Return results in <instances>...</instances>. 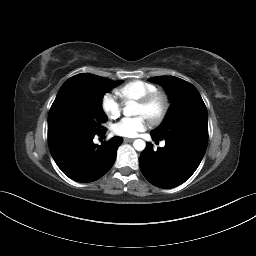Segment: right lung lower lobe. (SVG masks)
I'll return each mask as SVG.
<instances>
[{
	"mask_svg": "<svg viewBox=\"0 0 256 256\" xmlns=\"http://www.w3.org/2000/svg\"><path fill=\"white\" fill-rule=\"evenodd\" d=\"M95 134L72 129H48L52 157L69 178L78 182H92L107 173L114 164L117 148L123 139L113 137L98 146L93 143Z\"/></svg>",
	"mask_w": 256,
	"mask_h": 256,
	"instance_id": "obj_1",
	"label": "right lung lower lobe"
}]
</instances>
